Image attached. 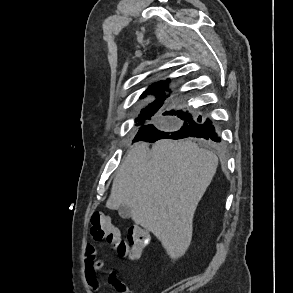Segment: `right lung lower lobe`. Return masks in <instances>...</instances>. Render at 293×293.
<instances>
[{
  "label": "right lung lower lobe",
  "instance_id": "98d812e1",
  "mask_svg": "<svg viewBox=\"0 0 293 293\" xmlns=\"http://www.w3.org/2000/svg\"><path fill=\"white\" fill-rule=\"evenodd\" d=\"M163 115H175L179 119L183 120V126L177 131H161L158 130L154 125L148 124L142 126L134 141L144 140L149 142H155L159 139L170 138V139H181L186 137H198L204 139H210L216 142H220V138L215 133V128L212 123L207 119L206 121L199 116L193 117L188 112L168 111Z\"/></svg>",
  "mask_w": 293,
  "mask_h": 293
}]
</instances>
